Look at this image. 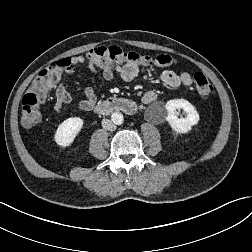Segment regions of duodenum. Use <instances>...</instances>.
<instances>
[{"label": "duodenum", "mask_w": 252, "mask_h": 252, "mask_svg": "<svg viewBox=\"0 0 252 252\" xmlns=\"http://www.w3.org/2000/svg\"><path fill=\"white\" fill-rule=\"evenodd\" d=\"M91 109L100 114H110L116 111L134 114L137 110V105L134 101L128 99L111 98L98 105H94Z\"/></svg>", "instance_id": "obj_1"}]
</instances>
